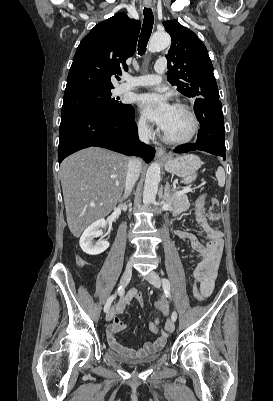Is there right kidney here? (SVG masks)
<instances>
[{"label": "right kidney", "mask_w": 273, "mask_h": 401, "mask_svg": "<svg viewBox=\"0 0 273 401\" xmlns=\"http://www.w3.org/2000/svg\"><path fill=\"white\" fill-rule=\"evenodd\" d=\"M105 225V219H99V221H95L90 227H87L79 241V245L84 253H87V255H100V253H104V251L108 249L110 243H108L106 239H104V241L99 239L97 243H93L94 239L101 237V229L105 227Z\"/></svg>", "instance_id": "right-kidney-1"}]
</instances>
